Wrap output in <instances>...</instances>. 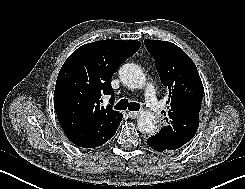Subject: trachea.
Wrapping results in <instances>:
<instances>
[{
	"label": "trachea",
	"instance_id": "1",
	"mask_svg": "<svg viewBox=\"0 0 245 189\" xmlns=\"http://www.w3.org/2000/svg\"><path fill=\"white\" fill-rule=\"evenodd\" d=\"M114 108L116 110H126L128 108L129 111H139L140 105L136 102H128L127 99H121Z\"/></svg>",
	"mask_w": 245,
	"mask_h": 189
}]
</instances>
